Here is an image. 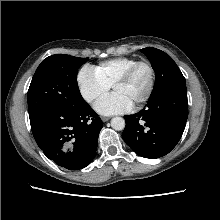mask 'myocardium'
Returning a JSON list of instances; mask_svg holds the SVG:
<instances>
[{"instance_id":"obj_1","label":"myocardium","mask_w":220,"mask_h":220,"mask_svg":"<svg viewBox=\"0 0 220 220\" xmlns=\"http://www.w3.org/2000/svg\"><path fill=\"white\" fill-rule=\"evenodd\" d=\"M145 66L149 70L150 74V80H149V86L142 98H140L136 103L133 104L134 107L141 106L142 104L146 103L150 97L152 96L155 84H156V70L153 64L150 61L147 60H141L137 61L135 64H133L130 68H128L123 75H121L115 83L112 85L113 90L120 85H124L127 82L131 80V78L134 76L135 72L138 70V68Z\"/></svg>"}]
</instances>
